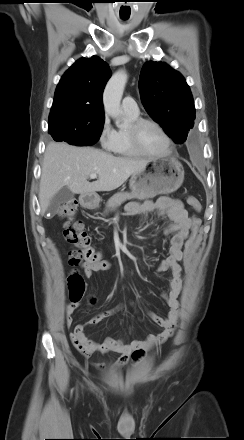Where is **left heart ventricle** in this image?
<instances>
[{"label": "left heart ventricle", "mask_w": 244, "mask_h": 440, "mask_svg": "<svg viewBox=\"0 0 244 440\" xmlns=\"http://www.w3.org/2000/svg\"><path fill=\"white\" fill-rule=\"evenodd\" d=\"M142 147L150 153L160 154L167 149V141L163 134L153 125H145L140 129Z\"/></svg>", "instance_id": "b2bd125f"}]
</instances>
